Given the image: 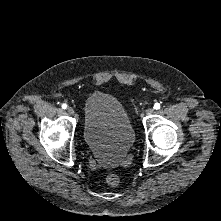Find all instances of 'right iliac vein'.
<instances>
[{"label":"right iliac vein","instance_id":"right-iliac-vein-1","mask_svg":"<svg viewBox=\"0 0 221 221\" xmlns=\"http://www.w3.org/2000/svg\"><path fill=\"white\" fill-rule=\"evenodd\" d=\"M67 112H68L70 115H74V109H73V108H68V109H67Z\"/></svg>","mask_w":221,"mask_h":221}]
</instances>
